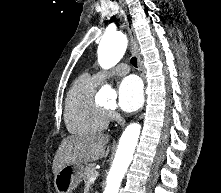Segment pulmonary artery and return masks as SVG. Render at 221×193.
I'll use <instances>...</instances> for the list:
<instances>
[{
    "instance_id": "1",
    "label": "pulmonary artery",
    "mask_w": 221,
    "mask_h": 193,
    "mask_svg": "<svg viewBox=\"0 0 221 193\" xmlns=\"http://www.w3.org/2000/svg\"><path fill=\"white\" fill-rule=\"evenodd\" d=\"M129 72V66L127 64H120L116 68H114L111 71H97L93 75V79L100 83L102 82L106 77L111 76V75H125Z\"/></svg>"
}]
</instances>
